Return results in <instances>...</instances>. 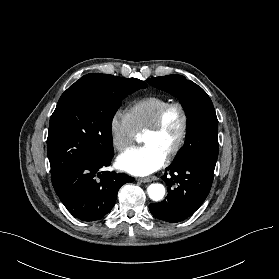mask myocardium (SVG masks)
I'll return each mask as SVG.
<instances>
[{
	"label": "myocardium",
	"mask_w": 279,
	"mask_h": 279,
	"mask_svg": "<svg viewBox=\"0 0 279 279\" xmlns=\"http://www.w3.org/2000/svg\"><path fill=\"white\" fill-rule=\"evenodd\" d=\"M173 108H177L180 111V114L182 117V127H181V132H180V135H179V138H178L176 144L170 150V152L166 155V157L169 159L173 158L174 156H176L179 153V151L182 149V147L185 143L186 137H187L189 119H188V114H187V111H186V108L184 107V105L177 101L167 103L159 110L153 123L144 131V135L149 134V133H155V132L159 131L164 124V120H165L167 113Z\"/></svg>",
	"instance_id": "obj_1"
}]
</instances>
